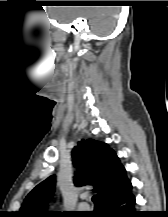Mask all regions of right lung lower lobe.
Segmentation results:
<instances>
[{"label": "right lung lower lobe", "mask_w": 168, "mask_h": 217, "mask_svg": "<svg viewBox=\"0 0 168 217\" xmlns=\"http://www.w3.org/2000/svg\"><path fill=\"white\" fill-rule=\"evenodd\" d=\"M131 189L132 186L100 205L97 217H141V214L135 211V196Z\"/></svg>", "instance_id": "98d812e1"}]
</instances>
